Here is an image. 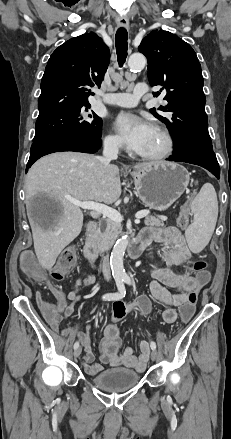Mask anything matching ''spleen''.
Listing matches in <instances>:
<instances>
[{
    "instance_id": "spleen-1",
    "label": "spleen",
    "mask_w": 231,
    "mask_h": 439,
    "mask_svg": "<svg viewBox=\"0 0 231 439\" xmlns=\"http://www.w3.org/2000/svg\"><path fill=\"white\" fill-rule=\"evenodd\" d=\"M191 209L194 218L185 235L190 249L199 253L209 243L217 222L218 201L212 184L206 183L202 186Z\"/></svg>"
}]
</instances>
